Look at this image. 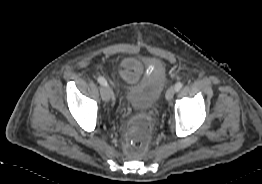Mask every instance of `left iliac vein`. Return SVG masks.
<instances>
[{"label":"left iliac vein","mask_w":262,"mask_h":184,"mask_svg":"<svg viewBox=\"0 0 262 184\" xmlns=\"http://www.w3.org/2000/svg\"><path fill=\"white\" fill-rule=\"evenodd\" d=\"M174 94H175V88L174 87H169L167 92H166V95H165L166 100L167 101L172 100L173 97H174Z\"/></svg>","instance_id":"obj_1"}]
</instances>
